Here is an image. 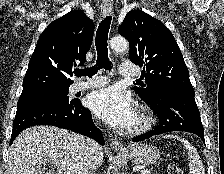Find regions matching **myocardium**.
<instances>
[{
    "label": "myocardium",
    "instance_id": "myocardium-1",
    "mask_svg": "<svg viewBox=\"0 0 224 174\" xmlns=\"http://www.w3.org/2000/svg\"><path fill=\"white\" fill-rule=\"evenodd\" d=\"M153 123V117L150 111L141 106L137 111V122L133 126L127 128L126 132L128 134H140L147 131Z\"/></svg>",
    "mask_w": 224,
    "mask_h": 174
}]
</instances>
